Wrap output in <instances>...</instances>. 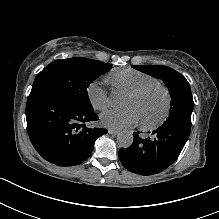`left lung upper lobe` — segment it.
<instances>
[{"instance_id": "obj_1", "label": "left lung upper lobe", "mask_w": 219, "mask_h": 219, "mask_svg": "<svg viewBox=\"0 0 219 219\" xmlns=\"http://www.w3.org/2000/svg\"><path fill=\"white\" fill-rule=\"evenodd\" d=\"M134 69L163 80L170 91V116L164 122H182L191 125L194 108L188 81L177 71L161 65H135Z\"/></svg>"}]
</instances>
